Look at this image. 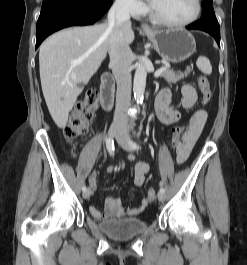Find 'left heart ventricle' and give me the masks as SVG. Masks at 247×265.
I'll return each instance as SVG.
<instances>
[{
	"label": "left heart ventricle",
	"mask_w": 247,
	"mask_h": 265,
	"mask_svg": "<svg viewBox=\"0 0 247 265\" xmlns=\"http://www.w3.org/2000/svg\"><path fill=\"white\" fill-rule=\"evenodd\" d=\"M154 10L164 18L181 22L189 19L195 12V0H149Z\"/></svg>",
	"instance_id": "obj_1"
}]
</instances>
